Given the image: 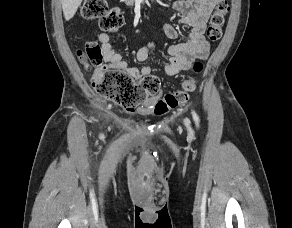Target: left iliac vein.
<instances>
[{
    "instance_id": "obj_1",
    "label": "left iliac vein",
    "mask_w": 292,
    "mask_h": 228,
    "mask_svg": "<svg viewBox=\"0 0 292 228\" xmlns=\"http://www.w3.org/2000/svg\"><path fill=\"white\" fill-rule=\"evenodd\" d=\"M184 124L189 130H191L190 129V120L188 118L184 119Z\"/></svg>"
}]
</instances>
